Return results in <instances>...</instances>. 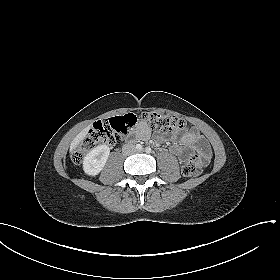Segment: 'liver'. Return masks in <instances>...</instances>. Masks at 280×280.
Listing matches in <instances>:
<instances>
[{
	"instance_id": "obj_1",
	"label": "liver",
	"mask_w": 280,
	"mask_h": 280,
	"mask_svg": "<svg viewBox=\"0 0 280 280\" xmlns=\"http://www.w3.org/2000/svg\"><path fill=\"white\" fill-rule=\"evenodd\" d=\"M90 128H91L90 126L86 127L74 138V140L71 144V149H74L75 147H77V145L87 136Z\"/></svg>"
}]
</instances>
